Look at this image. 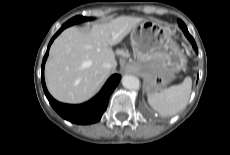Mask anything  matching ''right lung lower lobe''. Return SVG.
<instances>
[{
    "instance_id": "obj_1",
    "label": "right lung lower lobe",
    "mask_w": 230,
    "mask_h": 155,
    "mask_svg": "<svg viewBox=\"0 0 230 155\" xmlns=\"http://www.w3.org/2000/svg\"><path fill=\"white\" fill-rule=\"evenodd\" d=\"M63 29L65 28L62 26L60 30L53 36V38L51 39L48 45L47 52L43 58L41 81H42L44 93L51 106L62 118L76 124L95 123L101 119L104 111L106 110L109 97L120 81V75L118 74L112 75L108 79L104 87L101 89V91L94 98H92L90 101L86 103L80 105H68L54 100L48 93L45 85L44 66H45L46 59L48 57L51 43Z\"/></svg>"
}]
</instances>
